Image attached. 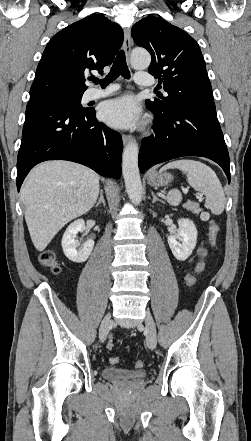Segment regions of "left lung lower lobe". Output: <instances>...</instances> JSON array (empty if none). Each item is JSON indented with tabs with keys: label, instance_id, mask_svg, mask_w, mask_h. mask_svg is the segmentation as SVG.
I'll return each mask as SVG.
<instances>
[{
	"label": "left lung lower lobe",
	"instance_id": "obj_1",
	"mask_svg": "<svg viewBox=\"0 0 251 441\" xmlns=\"http://www.w3.org/2000/svg\"><path fill=\"white\" fill-rule=\"evenodd\" d=\"M151 111L156 117L155 135L142 140L141 173L174 158L202 156L218 163L230 182L229 155L214 102L186 103L163 113Z\"/></svg>",
	"mask_w": 251,
	"mask_h": 441
}]
</instances>
